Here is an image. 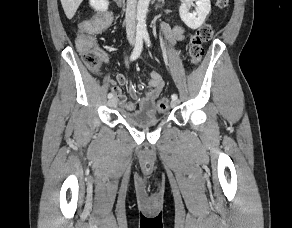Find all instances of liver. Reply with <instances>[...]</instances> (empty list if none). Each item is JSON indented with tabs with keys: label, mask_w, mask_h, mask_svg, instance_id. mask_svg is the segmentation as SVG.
Returning <instances> with one entry per match:
<instances>
[{
	"label": "liver",
	"mask_w": 292,
	"mask_h": 228,
	"mask_svg": "<svg viewBox=\"0 0 292 228\" xmlns=\"http://www.w3.org/2000/svg\"><path fill=\"white\" fill-rule=\"evenodd\" d=\"M68 19H72L83 0H60Z\"/></svg>",
	"instance_id": "obj_1"
}]
</instances>
